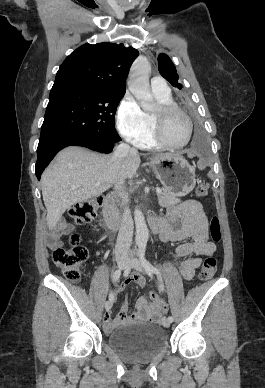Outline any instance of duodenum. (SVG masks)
Returning <instances> with one entry per match:
<instances>
[{
	"label": "duodenum",
	"instance_id": "duodenum-1",
	"mask_svg": "<svg viewBox=\"0 0 265 388\" xmlns=\"http://www.w3.org/2000/svg\"><path fill=\"white\" fill-rule=\"evenodd\" d=\"M102 211L107 226L111 230H116L120 224V216L115 205V195L105 196ZM149 226L154 234H160L164 230L165 224L160 217H153L149 220Z\"/></svg>",
	"mask_w": 265,
	"mask_h": 388
}]
</instances>
